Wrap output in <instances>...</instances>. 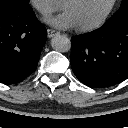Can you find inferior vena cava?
Returning a JSON list of instances; mask_svg holds the SVG:
<instances>
[{"instance_id": "obj_1", "label": "inferior vena cava", "mask_w": 128, "mask_h": 128, "mask_svg": "<svg viewBox=\"0 0 128 128\" xmlns=\"http://www.w3.org/2000/svg\"><path fill=\"white\" fill-rule=\"evenodd\" d=\"M41 11H42V12H46L47 10H46V8L42 7V8H41Z\"/></svg>"}]
</instances>
